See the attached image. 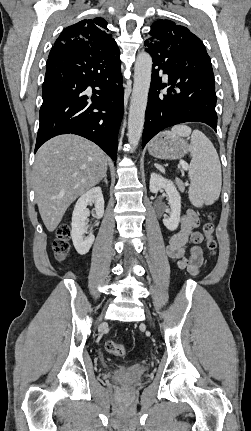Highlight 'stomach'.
<instances>
[{
	"mask_svg": "<svg viewBox=\"0 0 251 431\" xmlns=\"http://www.w3.org/2000/svg\"><path fill=\"white\" fill-rule=\"evenodd\" d=\"M190 145L178 135L165 131L157 135L148 146L150 155L159 159H178L189 151Z\"/></svg>",
	"mask_w": 251,
	"mask_h": 431,
	"instance_id": "obj_1",
	"label": "stomach"
}]
</instances>
